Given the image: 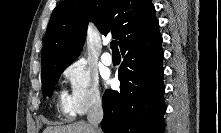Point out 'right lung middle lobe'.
Returning a JSON list of instances; mask_svg holds the SVG:
<instances>
[{"instance_id": "right-lung-middle-lobe-1", "label": "right lung middle lobe", "mask_w": 221, "mask_h": 133, "mask_svg": "<svg viewBox=\"0 0 221 133\" xmlns=\"http://www.w3.org/2000/svg\"><path fill=\"white\" fill-rule=\"evenodd\" d=\"M72 62H64L58 64L47 65L41 70L42 89L44 97L48 95L52 96L53 88L58 82V79L64 69L70 65Z\"/></svg>"}]
</instances>
